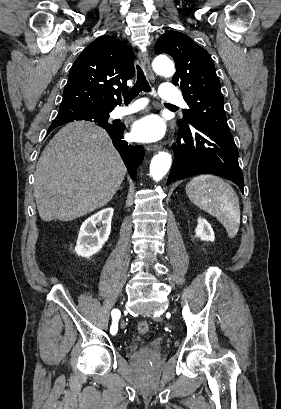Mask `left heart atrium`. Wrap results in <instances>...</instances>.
Instances as JSON below:
<instances>
[{
    "mask_svg": "<svg viewBox=\"0 0 281 409\" xmlns=\"http://www.w3.org/2000/svg\"><path fill=\"white\" fill-rule=\"evenodd\" d=\"M165 131V124L160 116L148 114L134 122L131 136L137 142L152 143L162 139Z\"/></svg>",
    "mask_w": 281,
    "mask_h": 409,
    "instance_id": "obj_1",
    "label": "left heart atrium"
}]
</instances>
